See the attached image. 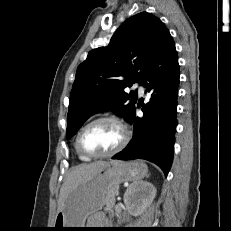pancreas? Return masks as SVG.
<instances>
[{"mask_svg":"<svg viewBox=\"0 0 231 231\" xmlns=\"http://www.w3.org/2000/svg\"><path fill=\"white\" fill-rule=\"evenodd\" d=\"M117 194L116 190H110L105 201L107 208H112L115 204V195Z\"/></svg>","mask_w":231,"mask_h":231,"instance_id":"obj_1","label":"pancreas"}]
</instances>
